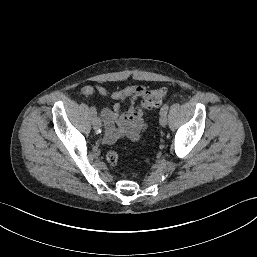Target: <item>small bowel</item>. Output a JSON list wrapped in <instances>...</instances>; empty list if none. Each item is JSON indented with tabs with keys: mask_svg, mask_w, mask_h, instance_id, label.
Returning a JSON list of instances; mask_svg holds the SVG:
<instances>
[{
	"mask_svg": "<svg viewBox=\"0 0 257 257\" xmlns=\"http://www.w3.org/2000/svg\"><path fill=\"white\" fill-rule=\"evenodd\" d=\"M146 92L147 87L137 84L113 92L101 85H86L80 89L81 95L97 94L116 101L112 108L104 107L101 110L105 128L104 140L107 143H114L122 137H128L133 141L140 139L146 129V122L142 107L135 106V101ZM124 104L128 106L122 110Z\"/></svg>",
	"mask_w": 257,
	"mask_h": 257,
	"instance_id": "small-bowel-1",
	"label": "small bowel"
}]
</instances>
